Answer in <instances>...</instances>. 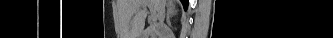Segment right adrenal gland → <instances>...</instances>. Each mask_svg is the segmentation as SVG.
I'll return each instance as SVG.
<instances>
[{"label":"right adrenal gland","instance_id":"2a0ac1e0","mask_svg":"<svg viewBox=\"0 0 333 38\" xmlns=\"http://www.w3.org/2000/svg\"><path fill=\"white\" fill-rule=\"evenodd\" d=\"M175 15V11L172 9L171 4L169 3L167 7V20L170 21V18H172Z\"/></svg>","mask_w":333,"mask_h":38}]
</instances>
